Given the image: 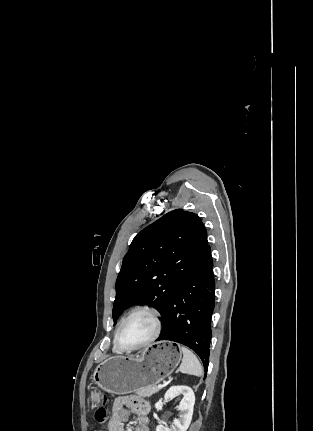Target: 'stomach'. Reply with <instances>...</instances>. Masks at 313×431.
I'll return each mask as SVG.
<instances>
[{
  "instance_id": "obj_1",
  "label": "stomach",
  "mask_w": 313,
  "mask_h": 431,
  "mask_svg": "<svg viewBox=\"0 0 313 431\" xmlns=\"http://www.w3.org/2000/svg\"><path fill=\"white\" fill-rule=\"evenodd\" d=\"M181 352L175 344L157 342L135 356H112L101 362L93 374V381L102 390L112 394L136 392L155 386L175 370ZM91 400L98 404L99 392H92Z\"/></svg>"
}]
</instances>
